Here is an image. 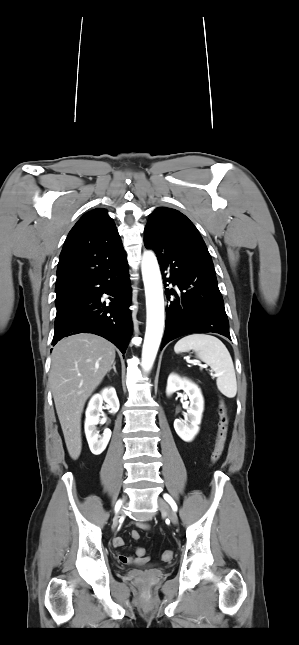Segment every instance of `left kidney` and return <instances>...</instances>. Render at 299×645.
Returning a JSON list of instances; mask_svg holds the SVG:
<instances>
[{"instance_id":"1","label":"left kidney","mask_w":299,"mask_h":645,"mask_svg":"<svg viewBox=\"0 0 299 645\" xmlns=\"http://www.w3.org/2000/svg\"><path fill=\"white\" fill-rule=\"evenodd\" d=\"M178 390H183L189 397L190 407L187 413L184 414V420L176 419L174 421V429L182 440L190 442L199 432L204 399L200 388L196 384L172 373L168 377L166 393L169 396Z\"/></svg>"}]
</instances>
